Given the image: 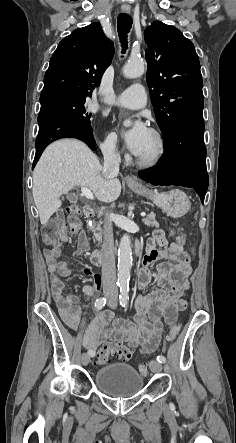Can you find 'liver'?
Returning a JSON list of instances; mask_svg holds the SVG:
<instances>
[{"label":"liver","mask_w":236,"mask_h":443,"mask_svg":"<svg viewBox=\"0 0 236 443\" xmlns=\"http://www.w3.org/2000/svg\"><path fill=\"white\" fill-rule=\"evenodd\" d=\"M75 186L88 188L106 203L121 193L120 181L107 178L97 156L76 139H62L50 144L33 172V198L40 222L45 225L61 207L60 197Z\"/></svg>","instance_id":"1"}]
</instances>
